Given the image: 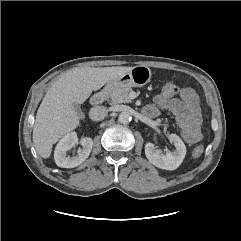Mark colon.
Segmentation results:
<instances>
[{
  "label": "colon",
  "mask_w": 241,
  "mask_h": 241,
  "mask_svg": "<svg viewBox=\"0 0 241 241\" xmlns=\"http://www.w3.org/2000/svg\"><path fill=\"white\" fill-rule=\"evenodd\" d=\"M178 92V87L173 83H166L161 88V95L165 98H172ZM204 153V148L202 146H198L193 151V156L198 158L202 156Z\"/></svg>",
  "instance_id": "1"
}]
</instances>
